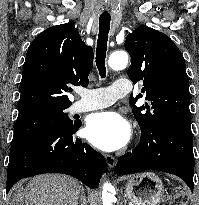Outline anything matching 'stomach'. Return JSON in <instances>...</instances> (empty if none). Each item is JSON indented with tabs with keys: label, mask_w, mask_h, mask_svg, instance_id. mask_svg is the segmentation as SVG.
Instances as JSON below:
<instances>
[{
	"label": "stomach",
	"mask_w": 199,
	"mask_h": 205,
	"mask_svg": "<svg viewBox=\"0 0 199 205\" xmlns=\"http://www.w3.org/2000/svg\"><path fill=\"white\" fill-rule=\"evenodd\" d=\"M126 196L135 205H157L164 194V186L153 172H142L126 178Z\"/></svg>",
	"instance_id": "obj_1"
}]
</instances>
